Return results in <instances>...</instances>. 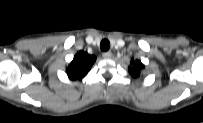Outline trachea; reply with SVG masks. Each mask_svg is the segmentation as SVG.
Returning <instances> with one entry per match:
<instances>
[{"label": "trachea", "instance_id": "obj_1", "mask_svg": "<svg viewBox=\"0 0 203 123\" xmlns=\"http://www.w3.org/2000/svg\"><path fill=\"white\" fill-rule=\"evenodd\" d=\"M100 48L102 51H108L110 48V42L107 39H103L100 43Z\"/></svg>", "mask_w": 203, "mask_h": 123}]
</instances>
